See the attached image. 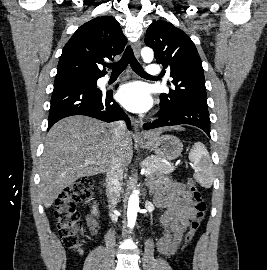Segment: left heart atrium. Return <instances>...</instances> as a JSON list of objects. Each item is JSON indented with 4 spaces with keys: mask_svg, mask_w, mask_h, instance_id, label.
<instances>
[{
    "mask_svg": "<svg viewBox=\"0 0 267 270\" xmlns=\"http://www.w3.org/2000/svg\"><path fill=\"white\" fill-rule=\"evenodd\" d=\"M118 101L132 112H145L153 104L148 88L140 82L124 84L117 93Z\"/></svg>",
    "mask_w": 267,
    "mask_h": 270,
    "instance_id": "left-heart-atrium-1",
    "label": "left heart atrium"
}]
</instances>
